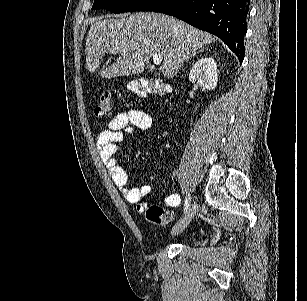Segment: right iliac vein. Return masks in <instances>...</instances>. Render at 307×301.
Wrapping results in <instances>:
<instances>
[{"instance_id": "right-iliac-vein-1", "label": "right iliac vein", "mask_w": 307, "mask_h": 301, "mask_svg": "<svg viewBox=\"0 0 307 301\" xmlns=\"http://www.w3.org/2000/svg\"><path fill=\"white\" fill-rule=\"evenodd\" d=\"M197 209H198L197 202H193L191 207L186 212L185 216L174 226V228L171 231V235H178L179 233H181L188 226V224L194 217Z\"/></svg>"}]
</instances>
